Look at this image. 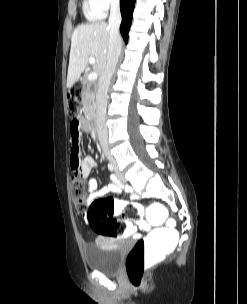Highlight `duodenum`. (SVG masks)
Masks as SVG:
<instances>
[{
    "instance_id": "duodenum-1",
    "label": "duodenum",
    "mask_w": 247,
    "mask_h": 304,
    "mask_svg": "<svg viewBox=\"0 0 247 304\" xmlns=\"http://www.w3.org/2000/svg\"><path fill=\"white\" fill-rule=\"evenodd\" d=\"M83 88L88 89V86H85V87H83ZM90 126L93 127L94 129H99V126H97V123H96L95 116H92V119H90ZM91 135H92V136L97 135V131H96V130H95V131L93 130V131L91 132Z\"/></svg>"
}]
</instances>
